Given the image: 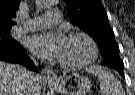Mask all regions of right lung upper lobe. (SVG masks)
Returning <instances> with one entry per match:
<instances>
[{
  "label": "right lung upper lobe",
  "mask_w": 135,
  "mask_h": 95,
  "mask_svg": "<svg viewBox=\"0 0 135 95\" xmlns=\"http://www.w3.org/2000/svg\"><path fill=\"white\" fill-rule=\"evenodd\" d=\"M19 4L20 0H0V30L11 29L16 24L12 18L16 17Z\"/></svg>",
  "instance_id": "right-lung-upper-lobe-1"
}]
</instances>
